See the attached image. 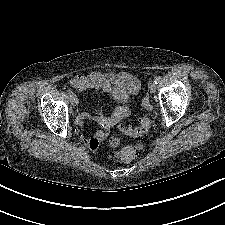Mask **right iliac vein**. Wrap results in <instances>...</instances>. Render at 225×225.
Instances as JSON below:
<instances>
[{
    "instance_id": "1",
    "label": "right iliac vein",
    "mask_w": 225,
    "mask_h": 225,
    "mask_svg": "<svg viewBox=\"0 0 225 225\" xmlns=\"http://www.w3.org/2000/svg\"><path fill=\"white\" fill-rule=\"evenodd\" d=\"M70 102L73 106H76L78 104V98L75 94H72L70 96Z\"/></svg>"
}]
</instances>
